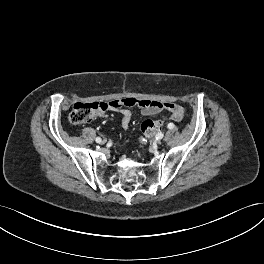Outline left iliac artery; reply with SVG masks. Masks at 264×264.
<instances>
[{
	"label": "left iliac artery",
	"instance_id": "left-iliac-artery-1",
	"mask_svg": "<svg viewBox=\"0 0 264 264\" xmlns=\"http://www.w3.org/2000/svg\"><path fill=\"white\" fill-rule=\"evenodd\" d=\"M174 127H175V125H174L173 123H169V124H168V128H169V129H174Z\"/></svg>",
	"mask_w": 264,
	"mask_h": 264
}]
</instances>
